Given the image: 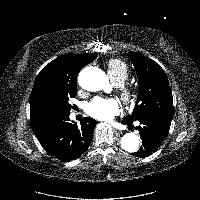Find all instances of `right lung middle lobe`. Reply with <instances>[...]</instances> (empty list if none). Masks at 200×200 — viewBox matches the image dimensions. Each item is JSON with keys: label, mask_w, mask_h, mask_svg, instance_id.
<instances>
[{"label": "right lung middle lobe", "mask_w": 200, "mask_h": 200, "mask_svg": "<svg viewBox=\"0 0 200 200\" xmlns=\"http://www.w3.org/2000/svg\"><path fill=\"white\" fill-rule=\"evenodd\" d=\"M77 82L73 81L60 87H46L39 90L30 104V115L69 113L72 105L70 98L76 96Z\"/></svg>", "instance_id": "dd1d6c3e"}]
</instances>
